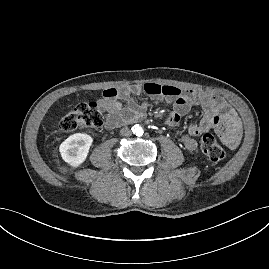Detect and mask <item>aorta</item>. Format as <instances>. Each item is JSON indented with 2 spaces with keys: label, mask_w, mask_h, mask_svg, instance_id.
<instances>
[{
  "label": "aorta",
  "mask_w": 269,
  "mask_h": 269,
  "mask_svg": "<svg viewBox=\"0 0 269 269\" xmlns=\"http://www.w3.org/2000/svg\"><path fill=\"white\" fill-rule=\"evenodd\" d=\"M133 132L137 135V136H142L144 133V129L143 127H141L140 125H135L133 128Z\"/></svg>",
  "instance_id": "aorta-1"
}]
</instances>
